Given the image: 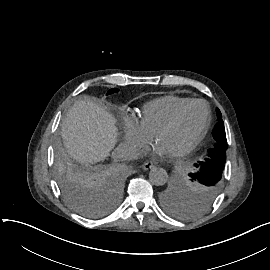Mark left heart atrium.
I'll list each match as a JSON object with an SVG mask.
<instances>
[{
    "label": "left heart atrium",
    "mask_w": 270,
    "mask_h": 270,
    "mask_svg": "<svg viewBox=\"0 0 270 270\" xmlns=\"http://www.w3.org/2000/svg\"><path fill=\"white\" fill-rule=\"evenodd\" d=\"M175 153L173 148L158 140L145 152L144 156L151 160H163Z\"/></svg>",
    "instance_id": "left-heart-atrium-1"
}]
</instances>
